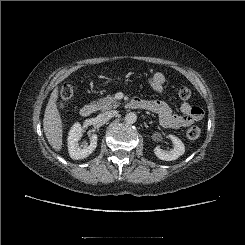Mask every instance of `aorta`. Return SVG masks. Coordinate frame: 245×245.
<instances>
[{
	"label": "aorta",
	"mask_w": 245,
	"mask_h": 245,
	"mask_svg": "<svg viewBox=\"0 0 245 245\" xmlns=\"http://www.w3.org/2000/svg\"><path fill=\"white\" fill-rule=\"evenodd\" d=\"M136 120H137V115L133 112H130L125 116V122L127 124H133L136 122Z\"/></svg>",
	"instance_id": "obj_1"
}]
</instances>
